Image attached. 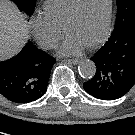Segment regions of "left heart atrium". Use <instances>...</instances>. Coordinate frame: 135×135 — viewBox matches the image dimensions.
<instances>
[{"label": "left heart atrium", "mask_w": 135, "mask_h": 135, "mask_svg": "<svg viewBox=\"0 0 135 135\" xmlns=\"http://www.w3.org/2000/svg\"><path fill=\"white\" fill-rule=\"evenodd\" d=\"M86 44L78 40L77 38L67 35L64 42L60 46L59 53L61 55H76L81 53Z\"/></svg>", "instance_id": "1"}]
</instances>
